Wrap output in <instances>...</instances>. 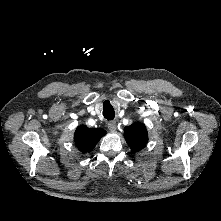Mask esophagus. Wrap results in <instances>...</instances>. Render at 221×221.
I'll return each instance as SVG.
<instances>
[{
	"label": "esophagus",
	"instance_id": "obj_1",
	"mask_svg": "<svg viewBox=\"0 0 221 221\" xmlns=\"http://www.w3.org/2000/svg\"><path fill=\"white\" fill-rule=\"evenodd\" d=\"M108 129L110 130V131H116V129H117V124H116V122L115 121H110L109 123H108Z\"/></svg>",
	"mask_w": 221,
	"mask_h": 221
}]
</instances>
